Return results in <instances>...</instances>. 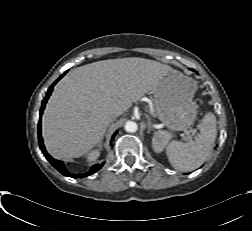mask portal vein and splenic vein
<instances>
[{
    "label": "portal vein and splenic vein",
    "instance_id": "1",
    "mask_svg": "<svg viewBox=\"0 0 252 231\" xmlns=\"http://www.w3.org/2000/svg\"><path fill=\"white\" fill-rule=\"evenodd\" d=\"M195 133H196V131L194 130V131H193V134H195ZM185 134H186V135H189V132H188V131H185Z\"/></svg>",
    "mask_w": 252,
    "mask_h": 231
}]
</instances>
